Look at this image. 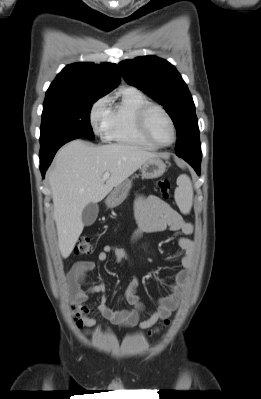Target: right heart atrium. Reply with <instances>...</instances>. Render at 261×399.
<instances>
[{
	"mask_svg": "<svg viewBox=\"0 0 261 399\" xmlns=\"http://www.w3.org/2000/svg\"><path fill=\"white\" fill-rule=\"evenodd\" d=\"M90 124L93 132L100 137L106 136L109 123V98L98 99L90 110Z\"/></svg>",
	"mask_w": 261,
	"mask_h": 399,
	"instance_id": "right-heart-atrium-1",
	"label": "right heart atrium"
}]
</instances>
